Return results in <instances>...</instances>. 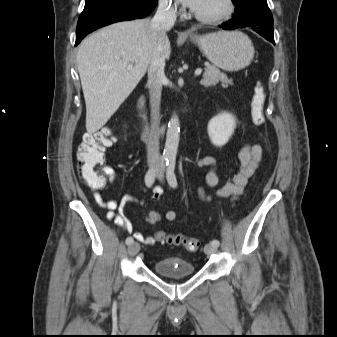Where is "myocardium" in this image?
Here are the masks:
<instances>
[{
    "label": "myocardium",
    "instance_id": "obj_1",
    "mask_svg": "<svg viewBox=\"0 0 337 337\" xmlns=\"http://www.w3.org/2000/svg\"><path fill=\"white\" fill-rule=\"evenodd\" d=\"M224 8L223 10L214 15H208V14H200L196 11H193V16L203 23H209V24H219L227 21L229 18L233 16L236 10V4L235 0H223Z\"/></svg>",
    "mask_w": 337,
    "mask_h": 337
}]
</instances>
